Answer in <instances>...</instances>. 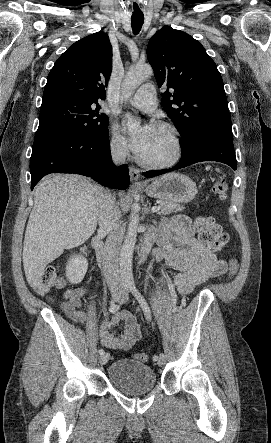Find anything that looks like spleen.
I'll return each instance as SVG.
<instances>
[{
  "label": "spleen",
  "mask_w": 271,
  "mask_h": 443,
  "mask_svg": "<svg viewBox=\"0 0 271 443\" xmlns=\"http://www.w3.org/2000/svg\"><path fill=\"white\" fill-rule=\"evenodd\" d=\"M216 172H219V168H217Z\"/></svg>",
  "instance_id": "spleen-1"
}]
</instances>
